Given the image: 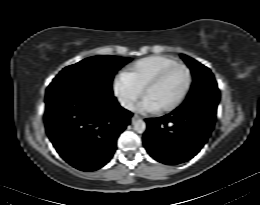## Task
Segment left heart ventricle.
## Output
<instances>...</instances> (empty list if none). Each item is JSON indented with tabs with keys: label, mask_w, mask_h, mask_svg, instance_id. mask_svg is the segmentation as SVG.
Masks as SVG:
<instances>
[{
	"label": "left heart ventricle",
	"mask_w": 260,
	"mask_h": 205,
	"mask_svg": "<svg viewBox=\"0 0 260 205\" xmlns=\"http://www.w3.org/2000/svg\"><path fill=\"white\" fill-rule=\"evenodd\" d=\"M187 83V73L181 67L170 70L154 87L146 94L158 108L172 103L182 93Z\"/></svg>",
	"instance_id": "left-heart-ventricle-1"
}]
</instances>
